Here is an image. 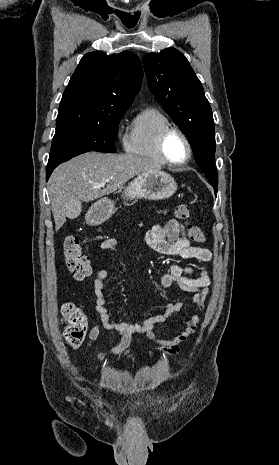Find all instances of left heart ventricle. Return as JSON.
<instances>
[{
  "mask_svg": "<svg viewBox=\"0 0 279 465\" xmlns=\"http://www.w3.org/2000/svg\"><path fill=\"white\" fill-rule=\"evenodd\" d=\"M165 152L169 159L181 162L187 156V146L183 138L176 132L171 133L165 143Z\"/></svg>",
  "mask_w": 279,
  "mask_h": 465,
  "instance_id": "left-heart-ventricle-1",
  "label": "left heart ventricle"
}]
</instances>
